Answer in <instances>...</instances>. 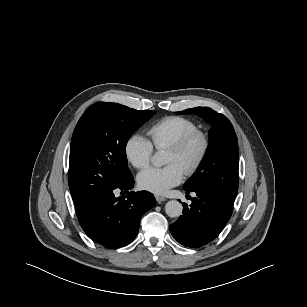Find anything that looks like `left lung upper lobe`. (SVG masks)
<instances>
[{
  "instance_id": "left-lung-upper-lobe-1",
  "label": "left lung upper lobe",
  "mask_w": 307,
  "mask_h": 307,
  "mask_svg": "<svg viewBox=\"0 0 307 307\" xmlns=\"http://www.w3.org/2000/svg\"><path fill=\"white\" fill-rule=\"evenodd\" d=\"M178 113H195L212 125L206 155L198 171L184 185V190L205 189L233 205L239 179L238 141L233 125L223 114L208 107H196Z\"/></svg>"
}]
</instances>
